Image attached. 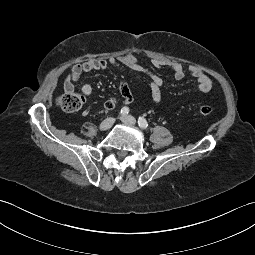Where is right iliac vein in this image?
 <instances>
[{"label":"right iliac vein","mask_w":255,"mask_h":255,"mask_svg":"<svg viewBox=\"0 0 255 255\" xmlns=\"http://www.w3.org/2000/svg\"><path fill=\"white\" fill-rule=\"evenodd\" d=\"M115 122V119L112 118V117H109V118H106L99 126V129L101 131H106L108 130L109 128L112 127V125L114 124Z\"/></svg>","instance_id":"obj_1"}]
</instances>
